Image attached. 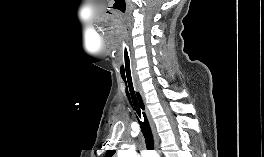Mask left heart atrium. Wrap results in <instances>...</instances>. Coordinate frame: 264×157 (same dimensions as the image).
<instances>
[{"instance_id":"left-heart-atrium-1","label":"left heart atrium","mask_w":264,"mask_h":157,"mask_svg":"<svg viewBox=\"0 0 264 157\" xmlns=\"http://www.w3.org/2000/svg\"><path fill=\"white\" fill-rule=\"evenodd\" d=\"M148 157H156V156L152 154L151 156H148Z\"/></svg>"}]
</instances>
